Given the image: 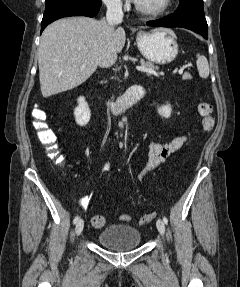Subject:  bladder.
I'll use <instances>...</instances> for the list:
<instances>
[{
	"mask_svg": "<svg viewBox=\"0 0 240 287\" xmlns=\"http://www.w3.org/2000/svg\"><path fill=\"white\" fill-rule=\"evenodd\" d=\"M142 237L139 229L129 225H110L97 236L98 243L114 251H126L138 247Z\"/></svg>",
	"mask_w": 240,
	"mask_h": 287,
	"instance_id": "1",
	"label": "bladder"
}]
</instances>
